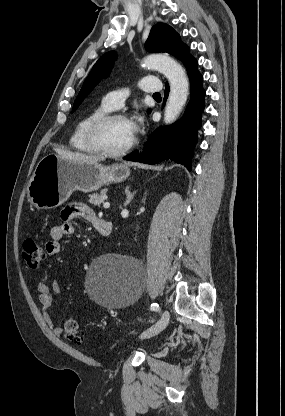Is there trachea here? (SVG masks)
Wrapping results in <instances>:
<instances>
[{"label": "trachea", "mask_w": 285, "mask_h": 416, "mask_svg": "<svg viewBox=\"0 0 285 416\" xmlns=\"http://www.w3.org/2000/svg\"><path fill=\"white\" fill-rule=\"evenodd\" d=\"M153 96H161L160 93H154Z\"/></svg>", "instance_id": "obj_1"}]
</instances>
